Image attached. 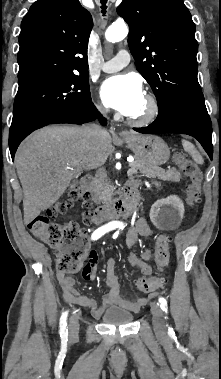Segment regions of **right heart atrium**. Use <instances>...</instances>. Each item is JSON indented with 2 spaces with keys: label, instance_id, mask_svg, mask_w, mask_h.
I'll return each mask as SVG.
<instances>
[{
  "label": "right heart atrium",
  "instance_id": "d8ad5b80",
  "mask_svg": "<svg viewBox=\"0 0 221 379\" xmlns=\"http://www.w3.org/2000/svg\"><path fill=\"white\" fill-rule=\"evenodd\" d=\"M94 107L99 114L105 115L107 113L106 107L99 101L94 103Z\"/></svg>",
  "mask_w": 221,
  "mask_h": 379
}]
</instances>
